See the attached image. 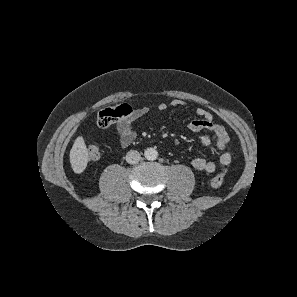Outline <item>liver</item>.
<instances>
[{"label":"liver","instance_id":"1","mask_svg":"<svg viewBox=\"0 0 297 297\" xmlns=\"http://www.w3.org/2000/svg\"><path fill=\"white\" fill-rule=\"evenodd\" d=\"M89 160L88 150L82 136H78L70 151V163L75 173L85 170Z\"/></svg>","mask_w":297,"mask_h":297}]
</instances>
